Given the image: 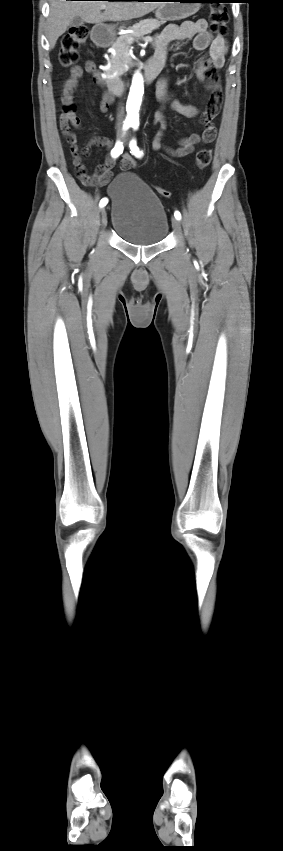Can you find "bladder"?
<instances>
[{
  "instance_id": "31cf9c89",
  "label": "bladder",
  "mask_w": 283,
  "mask_h": 851,
  "mask_svg": "<svg viewBox=\"0 0 283 851\" xmlns=\"http://www.w3.org/2000/svg\"><path fill=\"white\" fill-rule=\"evenodd\" d=\"M112 227L124 241L137 246L160 243L169 222L157 194L137 175L119 174L109 185Z\"/></svg>"
}]
</instances>
